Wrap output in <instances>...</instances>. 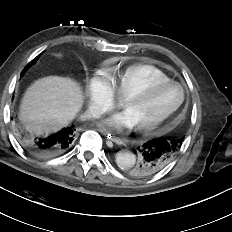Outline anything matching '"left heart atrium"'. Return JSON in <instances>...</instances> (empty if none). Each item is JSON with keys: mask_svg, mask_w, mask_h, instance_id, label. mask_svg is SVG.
Returning a JSON list of instances; mask_svg holds the SVG:
<instances>
[{"mask_svg": "<svg viewBox=\"0 0 232 232\" xmlns=\"http://www.w3.org/2000/svg\"><path fill=\"white\" fill-rule=\"evenodd\" d=\"M104 123L109 128L116 131H122L123 129H130L135 127L134 120L127 111L113 115L112 117L106 119Z\"/></svg>", "mask_w": 232, "mask_h": 232, "instance_id": "39dd6f15", "label": "left heart atrium"}]
</instances>
